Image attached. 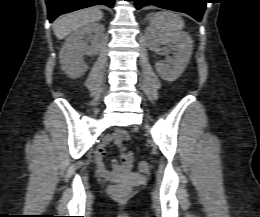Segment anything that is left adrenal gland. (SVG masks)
<instances>
[{
  "label": "left adrenal gland",
  "instance_id": "a2214340",
  "mask_svg": "<svg viewBox=\"0 0 260 217\" xmlns=\"http://www.w3.org/2000/svg\"><path fill=\"white\" fill-rule=\"evenodd\" d=\"M147 19H149V17H148V16L146 17V20H147Z\"/></svg>",
  "mask_w": 260,
  "mask_h": 217
}]
</instances>
